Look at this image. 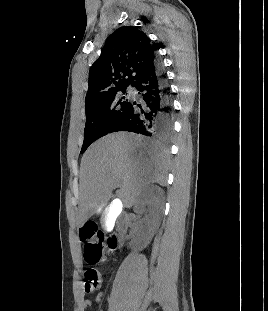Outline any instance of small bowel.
Instances as JSON below:
<instances>
[{"instance_id":"small-bowel-1","label":"small bowel","mask_w":268,"mask_h":311,"mask_svg":"<svg viewBox=\"0 0 268 311\" xmlns=\"http://www.w3.org/2000/svg\"><path fill=\"white\" fill-rule=\"evenodd\" d=\"M101 297H102V293H99L98 296H97V299L100 300ZM90 306H91V302L89 300H84L82 302L83 309H88Z\"/></svg>"}]
</instances>
